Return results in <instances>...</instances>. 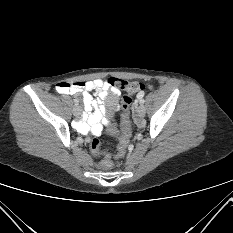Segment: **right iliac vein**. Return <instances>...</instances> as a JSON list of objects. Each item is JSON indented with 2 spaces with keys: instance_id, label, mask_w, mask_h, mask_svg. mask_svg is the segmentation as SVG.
Segmentation results:
<instances>
[{
  "instance_id": "1",
  "label": "right iliac vein",
  "mask_w": 233,
  "mask_h": 233,
  "mask_svg": "<svg viewBox=\"0 0 233 233\" xmlns=\"http://www.w3.org/2000/svg\"><path fill=\"white\" fill-rule=\"evenodd\" d=\"M81 111H82V109H81L80 106H78V105H75V106H74V108H73V114H74L75 116H79V115L81 114Z\"/></svg>"
}]
</instances>
